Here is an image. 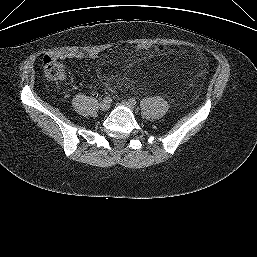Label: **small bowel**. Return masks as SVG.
I'll return each instance as SVG.
<instances>
[{"instance_id": "1", "label": "small bowel", "mask_w": 257, "mask_h": 257, "mask_svg": "<svg viewBox=\"0 0 257 257\" xmlns=\"http://www.w3.org/2000/svg\"><path fill=\"white\" fill-rule=\"evenodd\" d=\"M47 57L57 60V59H70V58H88V59H95L97 58L98 54L96 52H80V51H50Z\"/></svg>"}]
</instances>
